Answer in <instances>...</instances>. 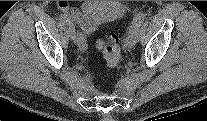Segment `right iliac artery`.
Listing matches in <instances>:
<instances>
[{"label":"right iliac artery","instance_id":"obj_1","mask_svg":"<svg viewBox=\"0 0 207 121\" xmlns=\"http://www.w3.org/2000/svg\"><path fill=\"white\" fill-rule=\"evenodd\" d=\"M60 20H61V22L67 23L68 25L72 24L70 22V19L68 18V16L66 14H61L60 15ZM78 37H79L78 38L79 47L85 46L84 38L81 36V34Z\"/></svg>","mask_w":207,"mask_h":121}]
</instances>
